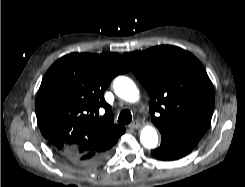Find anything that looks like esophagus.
<instances>
[{
	"label": "esophagus",
	"mask_w": 245,
	"mask_h": 187,
	"mask_svg": "<svg viewBox=\"0 0 245 187\" xmlns=\"http://www.w3.org/2000/svg\"><path fill=\"white\" fill-rule=\"evenodd\" d=\"M141 127H142V123L140 121H138V120L134 121L133 123H131L129 125L130 129H139Z\"/></svg>",
	"instance_id": "34e87169"
}]
</instances>
